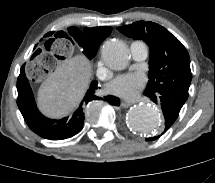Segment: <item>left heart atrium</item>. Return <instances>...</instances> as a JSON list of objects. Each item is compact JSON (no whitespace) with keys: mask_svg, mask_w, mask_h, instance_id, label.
Returning a JSON list of instances; mask_svg holds the SVG:
<instances>
[{"mask_svg":"<svg viewBox=\"0 0 215 183\" xmlns=\"http://www.w3.org/2000/svg\"><path fill=\"white\" fill-rule=\"evenodd\" d=\"M145 82L146 78L141 73L126 74L113 80L109 84L108 90L116 96L127 100H133L139 95Z\"/></svg>","mask_w":215,"mask_h":183,"instance_id":"left-heart-atrium-1","label":"left heart atrium"}]
</instances>
